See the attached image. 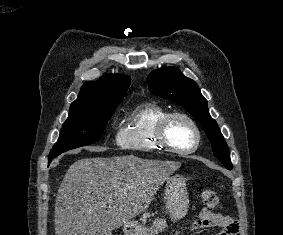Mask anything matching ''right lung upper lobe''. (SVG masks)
<instances>
[{"label": "right lung upper lobe", "instance_id": "right-lung-upper-lobe-1", "mask_svg": "<svg viewBox=\"0 0 283 235\" xmlns=\"http://www.w3.org/2000/svg\"><path fill=\"white\" fill-rule=\"evenodd\" d=\"M129 85V77L106 75L99 81L84 83L78 98L71 105L121 102Z\"/></svg>", "mask_w": 283, "mask_h": 235}]
</instances>
